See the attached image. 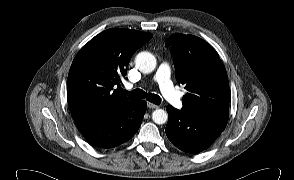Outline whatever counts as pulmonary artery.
Here are the masks:
<instances>
[{"label": "pulmonary artery", "instance_id": "obj_1", "mask_svg": "<svg viewBox=\"0 0 294 180\" xmlns=\"http://www.w3.org/2000/svg\"><path fill=\"white\" fill-rule=\"evenodd\" d=\"M155 81L158 83L160 90L164 97L177 109L183 107V102L181 97L175 91L173 84L170 80V66L168 63L163 62L157 68L154 77ZM127 89H132L133 86L128 84Z\"/></svg>", "mask_w": 294, "mask_h": 180}]
</instances>
